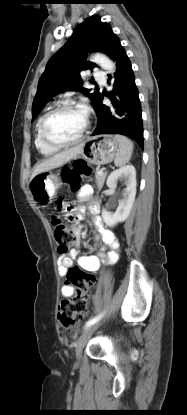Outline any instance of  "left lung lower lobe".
<instances>
[{
  "label": "left lung lower lobe",
  "mask_w": 187,
  "mask_h": 415,
  "mask_svg": "<svg viewBox=\"0 0 187 415\" xmlns=\"http://www.w3.org/2000/svg\"><path fill=\"white\" fill-rule=\"evenodd\" d=\"M109 57L117 65L113 90L105 94L111 100L112 107L103 105L102 94L94 106L98 124L92 135H125L143 148V122L138 89L130 60L118 38L111 45Z\"/></svg>",
  "instance_id": "0a47b994"
}]
</instances>
